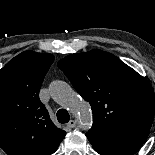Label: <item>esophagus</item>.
Instances as JSON below:
<instances>
[{"label": "esophagus", "instance_id": "34e87169", "mask_svg": "<svg viewBox=\"0 0 155 155\" xmlns=\"http://www.w3.org/2000/svg\"><path fill=\"white\" fill-rule=\"evenodd\" d=\"M76 125H77V121H76V120H70V121L67 123V126H68L69 128H74Z\"/></svg>", "mask_w": 155, "mask_h": 155}]
</instances>
